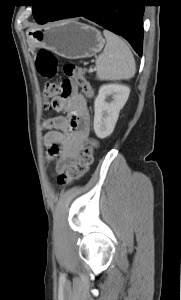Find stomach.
Here are the masks:
<instances>
[{
	"label": "stomach",
	"mask_w": 181,
	"mask_h": 300,
	"mask_svg": "<svg viewBox=\"0 0 181 300\" xmlns=\"http://www.w3.org/2000/svg\"><path fill=\"white\" fill-rule=\"evenodd\" d=\"M32 50L45 48L67 59H80L96 55L104 45L101 32L87 24L66 20L26 32Z\"/></svg>",
	"instance_id": "0dacf381"
}]
</instances>
